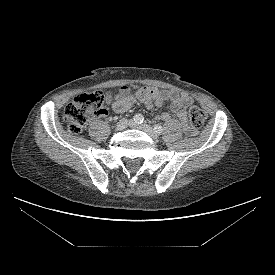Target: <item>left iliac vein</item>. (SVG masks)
<instances>
[{
  "instance_id": "1",
  "label": "left iliac vein",
  "mask_w": 275,
  "mask_h": 275,
  "mask_svg": "<svg viewBox=\"0 0 275 275\" xmlns=\"http://www.w3.org/2000/svg\"><path fill=\"white\" fill-rule=\"evenodd\" d=\"M130 126L144 131L145 133H147L154 140L158 139L157 133L154 131V129L151 126H149L147 124H140L139 125V124L131 122Z\"/></svg>"
}]
</instances>
